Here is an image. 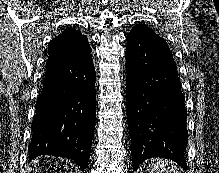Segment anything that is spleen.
Returning a JSON list of instances; mask_svg holds the SVG:
<instances>
[{"instance_id":"3e777b00","label":"spleen","mask_w":219,"mask_h":173,"mask_svg":"<svg viewBox=\"0 0 219 173\" xmlns=\"http://www.w3.org/2000/svg\"><path fill=\"white\" fill-rule=\"evenodd\" d=\"M147 170L150 173H180L172 162L163 159H151L147 162Z\"/></svg>"}]
</instances>
